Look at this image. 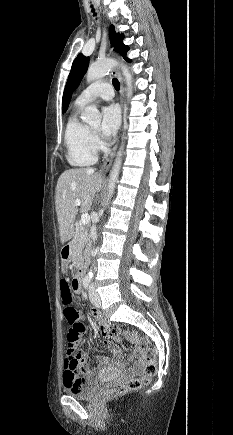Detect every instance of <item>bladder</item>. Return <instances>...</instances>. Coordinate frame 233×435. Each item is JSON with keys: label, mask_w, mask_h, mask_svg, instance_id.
<instances>
[{"label": "bladder", "mask_w": 233, "mask_h": 435, "mask_svg": "<svg viewBox=\"0 0 233 435\" xmlns=\"http://www.w3.org/2000/svg\"><path fill=\"white\" fill-rule=\"evenodd\" d=\"M100 384L97 381L84 384L76 390L69 391L68 394L78 400H89L99 390Z\"/></svg>", "instance_id": "obj_1"}]
</instances>
